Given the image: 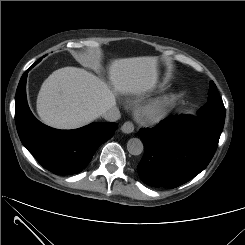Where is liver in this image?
<instances>
[{"label":"liver","mask_w":245,"mask_h":245,"mask_svg":"<svg viewBox=\"0 0 245 245\" xmlns=\"http://www.w3.org/2000/svg\"><path fill=\"white\" fill-rule=\"evenodd\" d=\"M111 86L76 67L54 71L37 96L41 121L58 129L85 126L116 105L117 94L142 95L158 83V58L143 56L116 59L108 66Z\"/></svg>","instance_id":"obj_1"}]
</instances>
